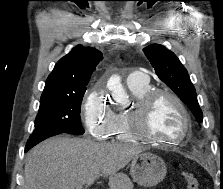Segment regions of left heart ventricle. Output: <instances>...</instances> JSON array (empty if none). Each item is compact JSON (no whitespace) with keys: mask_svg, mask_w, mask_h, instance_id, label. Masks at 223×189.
Masks as SVG:
<instances>
[{"mask_svg":"<svg viewBox=\"0 0 223 189\" xmlns=\"http://www.w3.org/2000/svg\"><path fill=\"white\" fill-rule=\"evenodd\" d=\"M183 129L182 114L168 97L159 98L145 120V131L157 138L176 139Z\"/></svg>","mask_w":223,"mask_h":189,"instance_id":"left-heart-ventricle-1","label":"left heart ventricle"}]
</instances>
